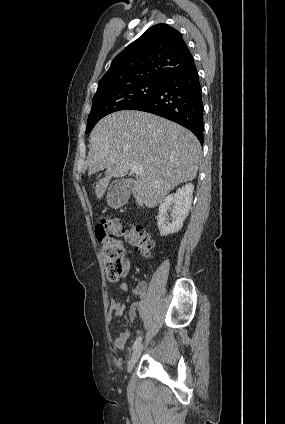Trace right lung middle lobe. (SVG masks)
I'll list each match as a JSON object with an SVG mask.
<instances>
[{
	"label": "right lung middle lobe",
	"mask_w": 285,
	"mask_h": 424,
	"mask_svg": "<svg viewBox=\"0 0 285 424\" xmlns=\"http://www.w3.org/2000/svg\"><path fill=\"white\" fill-rule=\"evenodd\" d=\"M163 81H139L98 90L93 97L86 134L106 115L131 109L137 103L154 95Z\"/></svg>",
	"instance_id": "dd1d6c3e"
}]
</instances>
